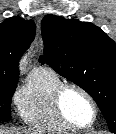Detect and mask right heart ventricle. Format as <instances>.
I'll use <instances>...</instances> for the list:
<instances>
[{
    "label": "right heart ventricle",
    "mask_w": 116,
    "mask_h": 134,
    "mask_svg": "<svg viewBox=\"0 0 116 134\" xmlns=\"http://www.w3.org/2000/svg\"><path fill=\"white\" fill-rule=\"evenodd\" d=\"M62 83V79L52 69L36 68L26 88L16 98L21 119L44 131L63 133L73 130L60 120L54 107V93Z\"/></svg>",
    "instance_id": "e07e8e85"
}]
</instances>
